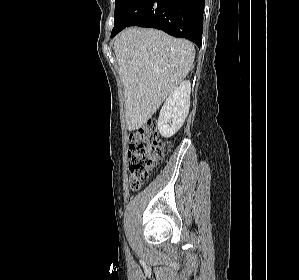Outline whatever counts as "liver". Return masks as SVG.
<instances>
[{
  "label": "liver",
  "mask_w": 299,
  "mask_h": 280,
  "mask_svg": "<svg viewBox=\"0 0 299 280\" xmlns=\"http://www.w3.org/2000/svg\"><path fill=\"white\" fill-rule=\"evenodd\" d=\"M114 52L124 86L127 129L134 131L188 75L195 48L160 30L131 27L115 38Z\"/></svg>",
  "instance_id": "1"
}]
</instances>
